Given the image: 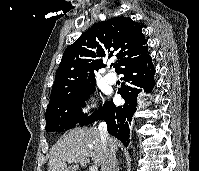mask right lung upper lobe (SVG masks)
<instances>
[{
    "label": "right lung upper lobe",
    "instance_id": "obj_1",
    "mask_svg": "<svg viewBox=\"0 0 199 171\" xmlns=\"http://www.w3.org/2000/svg\"><path fill=\"white\" fill-rule=\"evenodd\" d=\"M148 55L139 23L128 17H115L95 24L64 51L49 105L95 83L94 71L104 67L105 59L116 56V69L120 72Z\"/></svg>",
    "mask_w": 199,
    "mask_h": 171
}]
</instances>
